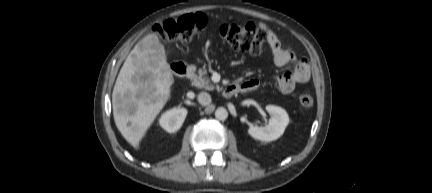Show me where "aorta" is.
Here are the masks:
<instances>
[{"mask_svg": "<svg viewBox=\"0 0 432 193\" xmlns=\"http://www.w3.org/2000/svg\"><path fill=\"white\" fill-rule=\"evenodd\" d=\"M215 117H216V119H218L220 121H224L228 117V112L225 108L219 107L215 111Z\"/></svg>", "mask_w": 432, "mask_h": 193, "instance_id": "1", "label": "aorta"}]
</instances>
